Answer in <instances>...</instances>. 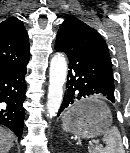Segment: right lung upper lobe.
I'll use <instances>...</instances> for the list:
<instances>
[{
	"label": "right lung upper lobe",
	"mask_w": 130,
	"mask_h": 153,
	"mask_svg": "<svg viewBox=\"0 0 130 153\" xmlns=\"http://www.w3.org/2000/svg\"><path fill=\"white\" fill-rule=\"evenodd\" d=\"M29 62V38L23 22L10 17L0 23V70Z\"/></svg>",
	"instance_id": "right-lung-upper-lobe-1"
}]
</instances>
